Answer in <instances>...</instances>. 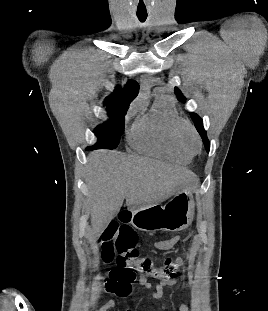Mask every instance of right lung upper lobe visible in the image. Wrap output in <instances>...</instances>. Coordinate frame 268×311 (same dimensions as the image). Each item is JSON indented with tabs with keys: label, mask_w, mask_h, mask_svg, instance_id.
<instances>
[{
	"label": "right lung upper lobe",
	"mask_w": 268,
	"mask_h": 311,
	"mask_svg": "<svg viewBox=\"0 0 268 311\" xmlns=\"http://www.w3.org/2000/svg\"><path fill=\"white\" fill-rule=\"evenodd\" d=\"M139 84L134 80H129L124 88L117 86L112 94L105 98L104 106L114 111L126 112L129 104L138 95Z\"/></svg>",
	"instance_id": "obj_1"
}]
</instances>
